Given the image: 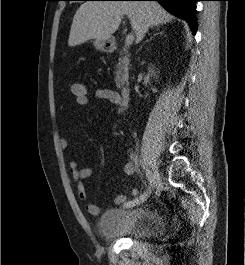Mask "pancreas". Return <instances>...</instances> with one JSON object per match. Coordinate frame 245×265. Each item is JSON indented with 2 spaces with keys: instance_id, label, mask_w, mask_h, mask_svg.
<instances>
[{
  "instance_id": "pancreas-1",
  "label": "pancreas",
  "mask_w": 245,
  "mask_h": 265,
  "mask_svg": "<svg viewBox=\"0 0 245 265\" xmlns=\"http://www.w3.org/2000/svg\"><path fill=\"white\" fill-rule=\"evenodd\" d=\"M128 70H129V59L127 56L119 58V62L116 65L115 70V83L117 88H120L124 81L128 78Z\"/></svg>"
}]
</instances>
